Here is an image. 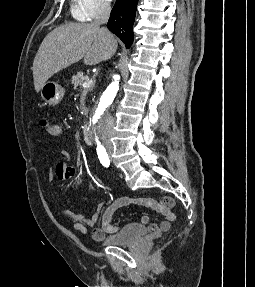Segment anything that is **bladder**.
<instances>
[{
	"instance_id": "bladder-1",
	"label": "bladder",
	"mask_w": 255,
	"mask_h": 287,
	"mask_svg": "<svg viewBox=\"0 0 255 287\" xmlns=\"http://www.w3.org/2000/svg\"><path fill=\"white\" fill-rule=\"evenodd\" d=\"M148 232V228L136 223H128L114 233L103 238L102 243L109 246L128 245L136 242Z\"/></svg>"
}]
</instances>
